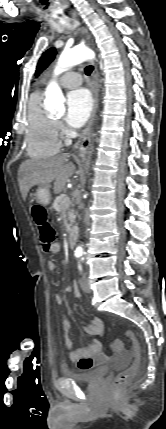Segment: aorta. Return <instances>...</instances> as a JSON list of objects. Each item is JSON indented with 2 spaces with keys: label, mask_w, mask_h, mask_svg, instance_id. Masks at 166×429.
Returning <instances> with one entry per match:
<instances>
[{
  "label": "aorta",
  "mask_w": 166,
  "mask_h": 429,
  "mask_svg": "<svg viewBox=\"0 0 166 429\" xmlns=\"http://www.w3.org/2000/svg\"><path fill=\"white\" fill-rule=\"evenodd\" d=\"M94 53L92 50L85 46H76L62 52L58 59L57 66L54 70L55 76L64 72L67 68L82 63L83 61L93 59ZM45 106L48 110L53 112H64L65 98L63 93L55 81H52L46 89ZM76 252L82 253L83 249L78 246Z\"/></svg>",
  "instance_id": "1"
}]
</instances>
